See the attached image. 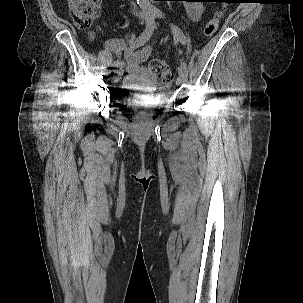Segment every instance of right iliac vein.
<instances>
[{
    "mask_svg": "<svg viewBox=\"0 0 303 303\" xmlns=\"http://www.w3.org/2000/svg\"><path fill=\"white\" fill-rule=\"evenodd\" d=\"M124 69L123 67H120L118 70H116L114 79H117L119 76L123 75Z\"/></svg>",
    "mask_w": 303,
    "mask_h": 303,
    "instance_id": "63e3f726",
    "label": "right iliac vein"
}]
</instances>
